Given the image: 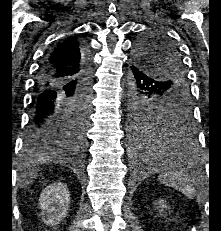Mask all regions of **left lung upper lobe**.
Masks as SVG:
<instances>
[{"label": "left lung upper lobe", "instance_id": "1", "mask_svg": "<svg viewBox=\"0 0 221 231\" xmlns=\"http://www.w3.org/2000/svg\"><path fill=\"white\" fill-rule=\"evenodd\" d=\"M133 54L137 65L145 66L150 76L164 84L158 93L145 97L140 112L130 117L131 130L151 138L162 128L190 117V88L179 49L161 31L139 37Z\"/></svg>", "mask_w": 221, "mask_h": 231}]
</instances>
